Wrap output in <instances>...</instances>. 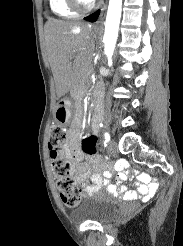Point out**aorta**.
<instances>
[{"label": "aorta", "instance_id": "obj_1", "mask_svg": "<svg viewBox=\"0 0 183 246\" xmlns=\"http://www.w3.org/2000/svg\"><path fill=\"white\" fill-rule=\"evenodd\" d=\"M122 12V0H109L103 37L104 53L108 60L112 59L118 38V30Z\"/></svg>", "mask_w": 183, "mask_h": 246}]
</instances>
